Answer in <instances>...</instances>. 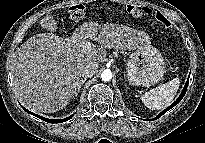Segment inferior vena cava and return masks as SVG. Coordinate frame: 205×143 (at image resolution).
<instances>
[{
	"label": "inferior vena cava",
	"mask_w": 205,
	"mask_h": 143,
	"mask_svg": "<svg viewBox=\"0 0 205 143\" xmlns=\"http://www.w3.org/2000/svg\"><path fill=\"white\" fill-rule=\"evenodd\" d=\"M98 69L97 62H89L81 69V76L84 78L92 77Z\"/></svg>",
	"instance_id": "inferior-vena-cava-1"
}]
</instances>
